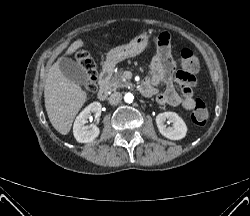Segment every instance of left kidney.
I'll list each match as a JSON object with an SVG mask.
<instances>
[{
    "mask_svg": "<svg viewBox=\"0 0 250 216\" xmlns=\"http://www.w3.org/2000/svg\"><path fill=\"white\" fill-rule=\"evenodd\" d=\"M173 123V127H166L165 121ZM159 132L170 140H181L186 136L187 126L184 120L175 112H163L156 116Z\"/></svg>",
    "mask_w": 250,
    "mask_h": 216,
    "instance_id": "left-kidney-1",
    "label": "left kidney"
}]
</instances>
